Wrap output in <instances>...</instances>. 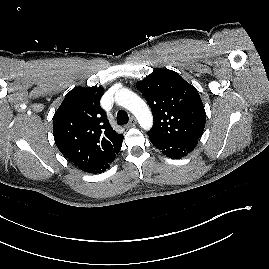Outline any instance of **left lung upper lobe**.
I'll return each instance as SVG.
<instances>
[{
  "label": "left lung upper lobe",
  "instance_id": "left-lung-upper-lobe-1",
  "mask_svg": "<svg viewBox=\"0 0 269 269\" xmlns=\"http://www.w3.org/2000/svg\"><path fill=\"white\" fill-rule=\"evenodd\" d=\"M137 89L151 107L154 124L150 137L168 141H198L206 113L196 88L177 72L158 69L142 81Z\"/></svg>",
  "mask_w": 269,
  "mask_h": 269
}]
</instances>
